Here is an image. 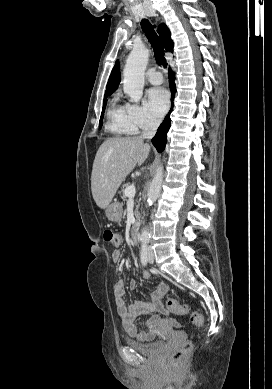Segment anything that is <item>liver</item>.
<instances>
[{"mask_svg": "<svg viewBox=\"0 0 272 389\" xmlns=\"http://www.w3.org/2000/svg\"><path fill=\"white\" fill-rule=\"evenodd\" d=\"M150 149L142 137L110 138L102 143L91 175L92 195L99 208H107L125 178L147 159Z\"/></svg>", "mask_w": 272, "mask_h": 389, "instance_id": "6515ba94", "label": "liver"}]
</instances>
